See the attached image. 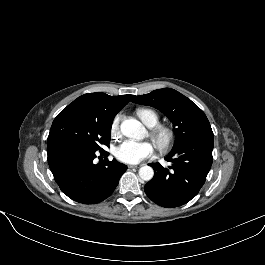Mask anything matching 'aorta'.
<instances>
[{
  "label": "aorta",
  "instance_id": "762f6f07",
  "mask_svg": "<svg viewBox=\"0 0 265 265\" xmlns=\"http://www.w3.org/2000/svg\"><path fill=\"white\" fill-rule=\"evenodd\" d=\"M120 129L124 136L137 140L143 139L146 134L145 127L136 119L123 120ZM139 176L144 181H150L154 176V171L150 166H143L139 169Z\"/></svg>",
  "mask_w": 265,
  "mask_h": 265
}]
</instances>
